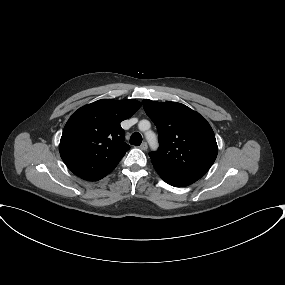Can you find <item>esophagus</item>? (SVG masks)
Segmentation results:
<instances>
[{
  "instance_id": "34e87169",
  "label": "esophagus",
  "mask_w": 285,
  "mask_h": 285,
  "mask_svg": "<svg viewBox=\"0 0 285 285\" xmlns=\"http://www.w3.org/2000/svg\"><path fill=\"white\" fill-rule=\"evenodd\" d=\"M140 148L142 149V150H147V148H148V145H147V143L146 142H143L141 145H140Z\"/></svg>"
}]
</instances>
